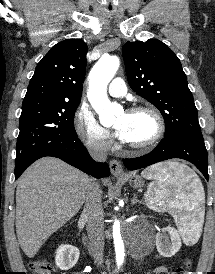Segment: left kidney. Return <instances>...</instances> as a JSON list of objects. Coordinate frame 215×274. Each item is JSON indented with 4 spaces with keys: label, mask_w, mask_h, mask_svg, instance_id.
<instances>
[{
    "label": "left kidney",
    "mask_w": 215,
    "mask_h": 274,
    "mask_svg": "<svg viewBox=\"0 0 215 274\" xmlns=\"http://www.w3.org/2000/svg\"><path fill=\"white\" fill-rule=\"evenodd\" d=\"M181 238L178 231L168 226L156 235V247L163 257L174 256L181 248Z\"/></svg>",
    "instance_id": "left-kidney-1"
}]
</instances>
